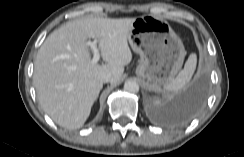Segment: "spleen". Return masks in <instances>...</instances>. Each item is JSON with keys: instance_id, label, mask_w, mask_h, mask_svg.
Wrapping results in <instances>:
<instances>
[{"instance_id": "1", "label": "spleen", "mask_w": 244, "mask_h": 157, "mask_svg": "<svg viewBox=\"0 0 244 157\" xmlns=\"http://www.w3.org/2000/svg\"><path fill=\"white\" fill-rule=\"evenodd\" d=\"M196 62V54H190L185 63L184 69L181 70L171 82L164 86V90L174 92L181 90L190 81L196 68Z\"/></svg>"}]
</instances>
